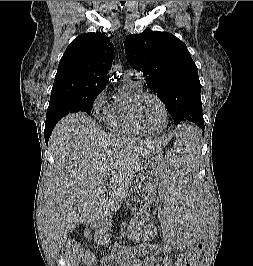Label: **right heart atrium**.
Instances as JSON below:
<instances>
[{
  "mask_svg": "<svg viewBox=\"0 0 253 266\" xmlns=\"http://www.w3.org/2000/svg\"><path fill=\"white\" fill-rule=\"evenodd\" d=\"M109 109L106 89H104L95 97L92 104V112L100 119H106Z\"/></svg>",
  "mask_w": 253,
  "mask_h": 266,
  "instance_id": "obj_1",
  "label": "right heart atrium"
}]
</instances>
